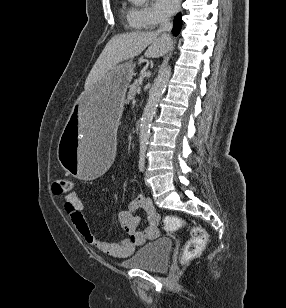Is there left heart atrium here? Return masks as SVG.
<instances>
[{
  "label": "left heart atrium",
  "mask_w": 286,
  "mask_h": 308,
  "mask_svg": "<svg viewBox=\"0 0 286 308\" xmlns=\"http://www.w3.org/2000/svg\"><path fill=\"white\" fill-rule=\"evenodd\" d=\"M155 10L163 16H170L178 8V0H154Z\"/></svg>",
  "instance_id": "39dd6f15"
}]
</instances>
